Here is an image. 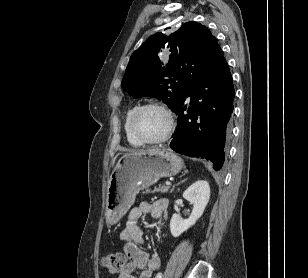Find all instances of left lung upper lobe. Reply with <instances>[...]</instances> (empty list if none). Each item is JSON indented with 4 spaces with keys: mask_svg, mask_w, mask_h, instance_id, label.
Listing matches in <instances>:
<instances>
[{
    "mask_svg": "<svg viewBox=\"0 0 308 278\" xmlns=\"http://www.w3.org/2000/svg\"><path fill=\"white\" fill-rule=\"evenodd\" d=\"M224 58L216 38L200 23L156 33L131 56L122 88L135 98L155 97L174 111L189 89Z\"/></svg>",
    "mask_w": 308,
    "mask_h": 278,
    "instance_id": "obj_1",
    "label": "left lung upper lobe"
}]
</instances>
